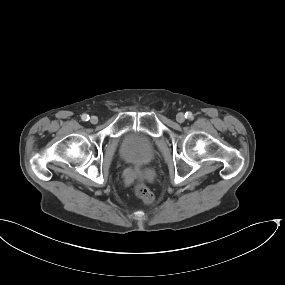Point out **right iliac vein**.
I'll return each instance as SVG.
<instances>
[{
	"mask_svg": "<svg viewBox=\"0 0 285 285\" xmlns=\"http://www.w3.org/2000/svg\"><path fill=\"white\" fill-rule=\"evenodd\" d=\"M90 122H91L92 124H96V123L98 122V118H97L96 116H91Z\"/></svg>",
	"mask_w": 285,
	"mask_h": 285,
	"instance_id": "obj_1",
	"label": "right iliac vein"
}]
</instances>
